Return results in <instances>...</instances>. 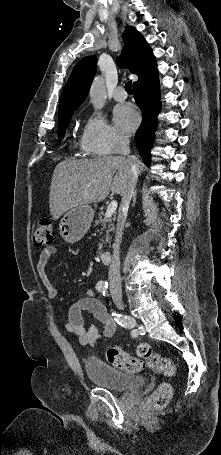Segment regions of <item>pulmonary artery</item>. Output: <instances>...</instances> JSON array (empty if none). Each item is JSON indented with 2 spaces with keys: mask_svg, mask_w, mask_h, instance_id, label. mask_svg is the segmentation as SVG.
Segmentation results:
<instances>
[{
  "mask_svg": "<svg viewBox=\"0 0 221 455\" xmlns=\"http://www.w3.org/2000/svg\"><path fill=\"white\" fill-rule=\"evenodd\" d=\"M113 98L116 101H118V102L124 101L127 98V94L125 92V89L123 87H121V86L117 87L113 91Z\"/></svg>",
  "mask_w": 221,
  "mask_h": 455,
  "instance_id": "obj_1",
  "label": "pulmonary artery"
}]
</instances>
